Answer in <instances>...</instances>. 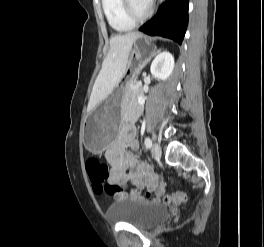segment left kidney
Segmentation results:
<instances>
[{"mask_svg": "<svg viewBox=\"0 0 264 247\" xmlns=\"http://www.w3.org/2000/svg\"><path fill=\"white\" fill-rule=\"evenodd\" d=\"M174 57L168 51L159 53L151 63L150 72L153 76L166 80L173 72Z\"/></svg>", "mask_w": 264, "mask_h": 247, "instance_id": "5707ae66", "label": "left kidney"}]
</instances>
